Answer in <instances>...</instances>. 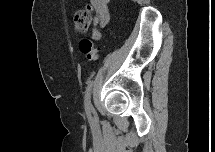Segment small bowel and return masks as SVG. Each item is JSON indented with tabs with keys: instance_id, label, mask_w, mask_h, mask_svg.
<instances>
[{
	"instance_id": "obj_1",
	"label": "small bowel",
	"mask_w": 215,
	"mask_h": 152,
	"mask_svg": "<svg viewBox=\"0 0 215 152\" xmlns=\"http://www.w3.org/2000/svg\"><path fill=\"white\" fill-rule=\"evenodd\" d=\"M91 5L95 13V17L93 20V25H94L93 38L95 40H98L100 38V33L97 30V28L105 27L109 21L108 1L92 0Z\"/></svg>"
}]
</instances>
